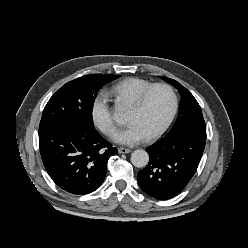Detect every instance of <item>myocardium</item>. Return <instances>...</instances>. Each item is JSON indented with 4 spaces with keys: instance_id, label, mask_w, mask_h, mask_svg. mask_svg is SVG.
Listing matches in <instances>:
<instances>
[{
    "instance_id": "obj_1",
    "label": "myocardium",
    "mask_w": 248,
    "mask_h": 248,
    "mask_svg": "<svg viewBox=\"0 0 248 248\" xmlns=\"http://www.w3.org/2000/svg\"><path fill=\"white\" fill-rule=\"evenodd\" d=\"M157 88H164L170 93L171 99H172V108H171V112L169 114V117L167 118V120L163 124V126L157 132H155L154 134L147 137V139L149 141H153V140L160 138L170 128V126L172 125V123L176 117L177 111H178L177 94H176L175 90L173 89V87L170 86L169 84H166V83H156V84L151 85L150 87L145 89L135 99V101L131 104V106L136 110L141 109L145 105L149 95Z\"/></svg>"
}]
</instances>
